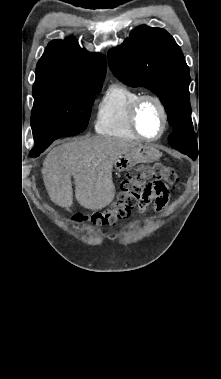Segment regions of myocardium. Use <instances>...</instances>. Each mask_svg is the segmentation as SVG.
Here are the masks:
<instances>
[{"label":"myocardium","mask_w":221,"mask_h":379,"mask_svg":"<svg viewBox=\"0 0 221 379\" xmlns=\"http://www.w3.org/2000/svg\"><path fill=\"white\" fill-rule=\"evenodd\" d=\"M146 101L155 102L157 104V106L159 107L160 112H161V116H162L161 130H160L159 134L154 136V137H148V136L144 135L141 132L139 125H138L139 110H140L141 106ZM129 121H130V125H131L132 130L140 139H143L146 141H156V140L160 139L167 130V127H168L167 109H166L163 101L158 96H156L154 94H143V95L139 96L131 105L130 113H129Z\"/></svg>","instance_id":"myocardium-1"}]
</instances>
